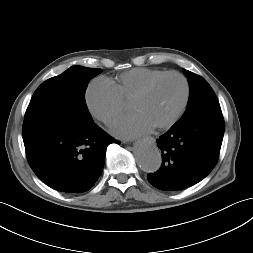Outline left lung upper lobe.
<instances>
[{
    "label": "left lung upper lobe",
    "instance_id": "obj_1",
    "mask_svg": "<svg viewBox=\"0 0 253 253\" xmlns=\"http://www.w3.org/2000/svg\"><path fill=\"white\" fill-rule=\"evenodd\" d=\"M190 84L187 109L176 123L186 121L223 120L219 101L204 78L185 70Z\"/></svg>",
    "mask_w": 253,
    "mask_h": 253
}]
</instances>
